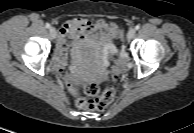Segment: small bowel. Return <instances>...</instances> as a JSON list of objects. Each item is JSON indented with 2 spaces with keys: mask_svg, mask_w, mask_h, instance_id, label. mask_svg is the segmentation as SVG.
<instances>
[{
  "mask_svg": "<svg viewBox=\"0 0 194 133\" xmlns=\"http://www.w3.org/2000/svg\"><path fill=\"white\" fill-rule=\"evenodd\" d=\"M96 30H102L112 35L119 34L117 26L114 24H108L103 20L93 23L84 18H74L67 20L61 26L53 66L59 76L66 81L68 88L73 93L76 92L73 79L65 70L68 51L73 44L86 39Z\"/></svg>",
  "mask_w": 194,
  "mask_h": 133,
  "instance_id": "obj_1",
  "label": "small bowel"
}]
</instances>
